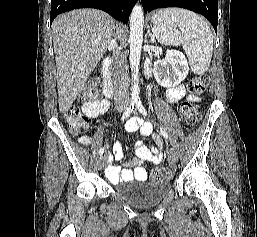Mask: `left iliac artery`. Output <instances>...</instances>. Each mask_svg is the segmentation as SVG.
<instances>
[{
  "label": "left iliac artery",
  "mask_w": 257,
  "mask_h": 237,
  "mask_svg": "<svg viewBox=\"0 0 257 237\" xmlns=\"http://www.w3.org/2000/svg\"><path fill=\"white\" fill-rule=\"evenodd\" d=\"M136 107L141 112V114H143L144 116H147V111L144 108V106L142 105L140 100L136 102ZM160 131H161V134L163 135V137L168 140L169 136H168L167 132L165 131V129L160 128Z\"/></svg>",
  "instance_id": "left-iliac-artery-1"
}]
</instances>
